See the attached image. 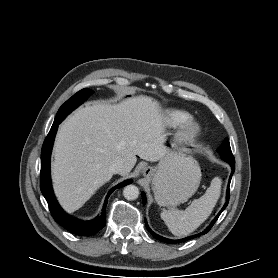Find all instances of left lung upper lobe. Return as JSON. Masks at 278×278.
<instances>
[{
    "instance_id": "left-lung-upper-lobe-1",
    "label": "left lung upper lobe",
    "mask_w": 278,
    "mask_h": 278,
    "mask_svg": "<svg viewBox=\"0 0 278 278\" xmlns=\"http://www.w3.org/2000/svg\"><path fill=\"white\" fill-rule=\"evenodd\" d=\"M217 151L221 153L223 160H225L226 162H235L228 139L224 140Z\"/></svg>"
}]
</instances>
